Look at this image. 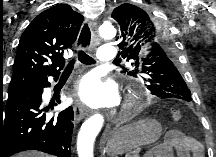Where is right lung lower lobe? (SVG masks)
<instances>
[{
    "instance_id": "right-lung-lower-lobe-1",
    "label": "right lung lower lobe",
    "mask_w": 216,
    "mask_h": 157,
    "mask_svg": "<svg viewBox=\"0 0 216 157\" xmlns=\"http://www.w3.org/2000/svg\"><path fill=\"white\" fill-rule=\"evenodd\" d=\"M59 73L55 74L58 77ZM48 80L19 90L0 107V157L23 150H38L57 157H71L73 109L48 116L42 103Z\"/></svg>"
}]
</instances>
